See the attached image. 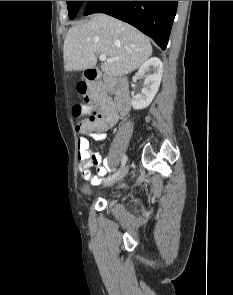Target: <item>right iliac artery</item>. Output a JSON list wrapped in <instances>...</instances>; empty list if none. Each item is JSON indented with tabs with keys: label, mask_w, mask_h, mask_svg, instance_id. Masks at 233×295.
I'll list each match as a JSON object with an SVG mask.
<instances>
[{
	"label": "right iliac artery",
	"mask_w": 233,
	"mask_h": 295,
	"mask_svg": "<svg viewBox=\"0 0 233 295\" xmlns=\"http://www.w3.org/2000/svg\"><path fill=\"white\" fill-rule=\"evenodd\" d=\"M126 161H127V156L125 155V156L123 157V159H122V167L125 165ZM120 170H121V169H120ZM120 170H119L117 173L113 174L112 176H109L108 179H112V178H114L115 176H117V175L120 173Z\"/></svg>",
	"instance_id": "obj_1"
}]
</instances>
